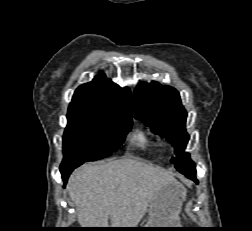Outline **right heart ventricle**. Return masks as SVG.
<instances>
[{
	"instance_id": "e07e8e85",
	"label": "right heart ventricle",
	"mask_w": 252,
	"mask_h": 231,
	"mask_svg": "<svg viewBox=\"0 0 252 231\" xmlns=\"http://www.w3.org/2000/svg\"><path fill=\"white\" fill-rule=\"evenodd\" d=\"M131 140L134 143L144 146L156 145V142L142 130H137L136 132H134L133 135L131 136Z\"/></svg>"
}]
</instances>
